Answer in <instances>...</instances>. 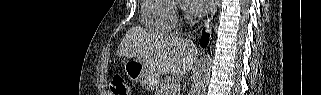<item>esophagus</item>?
I'll use <instances>...</instances> for the list:
<instances>
[{
  "label": "esophagus",
  "mask_w": 321,
  "mask_h": 95,
  "mask_svg": "<svg viewBox=\"0 0 321 95\" xmlns=\"http://www.w3.org/2000/svg\"><path fill=\"white\" fill-rule=\"evenodd\" d=\"M218 4H219V1L218 0H215L213 2V5H212V8H211V16H210V19L211 20L213 18V16L215 15L216 11H217V7H218Z\"/></svg>",
  "instance_id": "1"
}]
</instances>
